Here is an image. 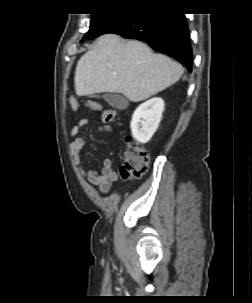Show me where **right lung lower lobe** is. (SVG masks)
I'll return each instance as SVG.
<instances>
[{
    "label": "right lung lower lobe",
    "instance_id": "right-lung-lower-lobe-1",
    "mask_svg": "<svg viewBox=\"0 0 252 303\" xmlns=\"http://www.w3.org/2000/svg\"><path fill=\"white\" fill-rule=\"evenodd\" d=\"M114 33L146 42L155 51L168 54L189 71L193 59L184 14L158 9H132L121 14L102 34Z\"/></svg>",
    "mask_w": 252,
    "mask_h": 303
}]
</instances>
